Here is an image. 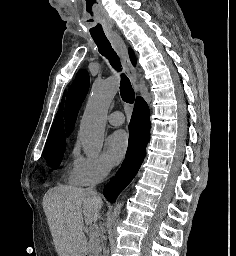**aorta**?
<instances>
[{"instance_id":"aorta-1","label":"aorta","mask_w":236,"mask_h":256,"mask_svg":"<svg viewBox=\"0 0 236 256\" xmlns=\"http://www.w3.org/2000/svg\"><path fill=\"white\" fill-rule=\"evenodd\" d=\"M119 82L116 77H110L105 81L94 83L92 92L80 123L79 137L81 142L94 149H100L103 145L106 115L110 103L117 93ZM119 203L113 210L111 222L113 225L119 215Z\"/></svg>"}]
</instances>
